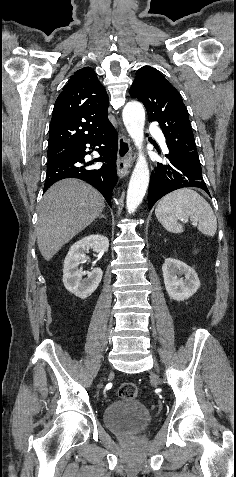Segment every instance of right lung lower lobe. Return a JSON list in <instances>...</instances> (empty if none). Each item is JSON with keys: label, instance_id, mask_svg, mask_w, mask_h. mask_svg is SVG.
I'll use <instances>...</instances> for the list:
<instances>
[{"label": "right lung lower lobe", "instance_id": "right-lung-lower-lobe-1", "mask_svg": "<svg viewBox=\"0 0 236 477\" xmlns=\"http://www.w3.org/2000/svg\"><path fill=\"white\" fill-rule=\"evenodd\" d=\"M90 145V146H86ZM100 154L95 161L103 162L98 169L89 168L84 160L95 147ZM91 149L86 151V149ZM118 150L117 132L110 123L87 138L63 160L47 165L44 192L55 182L64 178H78L94 186L111 206L112 191L117 182L116 158Z\"/></svg>", "mask_w": 236, "mask_h": 477}]
</instances>
